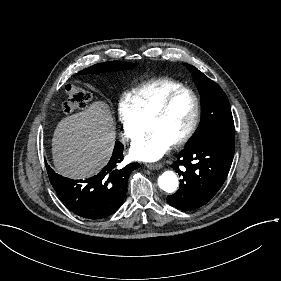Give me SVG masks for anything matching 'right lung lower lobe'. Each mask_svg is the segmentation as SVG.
I'll return each mask as SVG.
<instances>
[{"label":"right lung lower lobe","mask_w":281,"mask_h":281,"mask_svg":"<svg viewBox=\"0 0 281 281\" xmlns=\"http://www.w3.org/2000/svg\"><path fill=\"white\" fill-rule=\"evenodd\" d=\"M123 147L117 141L108 164L86 180L65 178L46 164L50 182L69 210L86 219H101L118 210L126 194L130 173L140 167L138 163L119 167Z\"/></svg>","instance_id":"98d812e1"}]
</instances>
